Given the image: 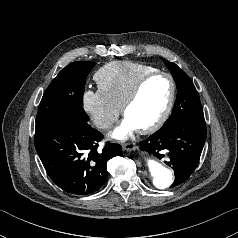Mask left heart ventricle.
Wrapping results in <instances>:
<instances>
[{"instance_id":"obj_1","label":"left heart ventricle","mask_w":238,"mask_h":238,"mask_svg":"<svg viewBox=\"0 0 238 238\" xmlns=\"http://www.w3.org/2000/svg\"><path fill=\"white\" fill-rule=\"evenodd\" d=\"M170 95L167 78L158 76L146 83L137 100L126 111L137 129L152 124L163 112Z\"/></svg>"}]
</instances>
